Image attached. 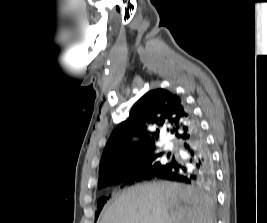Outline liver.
Here are the masks:
<instances>
[{
  "mask_svg": "<svg viewBox=\"0 0 267 223\" xmlns=\"http://www.w3.org/2000/svg\"><path fill=\"white\" fill-rule=\"evenodd\" d=\"M213 207V199L193 186L153 182L124 191L100 223H213Z\"/></svg>",
  "mask_w": 267,
  "mask_h": 223,
  "instance_id": "obj_1",
  "label": "liver"
}]
</instances>
